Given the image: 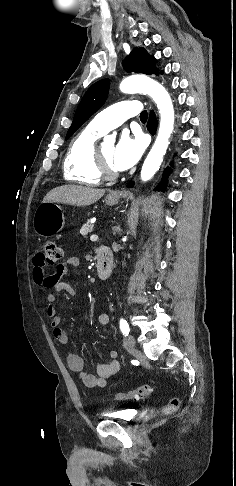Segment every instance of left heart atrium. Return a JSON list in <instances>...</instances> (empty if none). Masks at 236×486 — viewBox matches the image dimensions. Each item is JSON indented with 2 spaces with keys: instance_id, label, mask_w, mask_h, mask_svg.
<instances>
[{
  "instance_id": "left-heart-atrium-1",
  "label": "left heart atrium",
  "mask_w": 236,
  "mask_h": 486,
  "mask_svg": "<svg viewBox=\"0 0 236 486\" xmlns=\"http://www.w3.org/2000/svg\"><path fill=\"white\" fill-rule=\"evenodd\" d=\"M145 145L141 137H132L127 133L120 137L113 154V165L118 171L132 167L140 159Z\"/></svg>"
}]
</instances>
